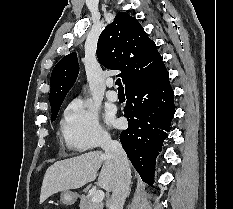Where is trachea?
<instances>
[{"mask_svg": "<svg viewBox=\"0 0 233 209\" xmlns=\"http://www.w3.org/2000/svg\"><path fill=\"white\" fill-rule=\"evenodd\" d=\"M115 84L118 86V90H124L120 78L116 80Z\"/></svg>", "mask_w": 233, "mask_h": 209, "instance_id": "3493384b", "label": "trachea"}]
</instances>
